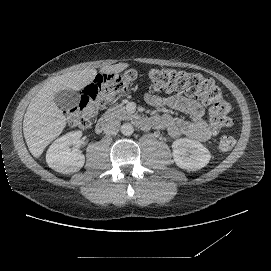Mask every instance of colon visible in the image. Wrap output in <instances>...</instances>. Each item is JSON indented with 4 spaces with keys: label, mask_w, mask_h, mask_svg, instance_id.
Wrapping results in <instances>:
<instances>
[{
    "label": "colon",
    "mask_w": 271,
    "mask_h": 271,
    "mask_svg": "<svg viewBox=\"0 0 271 271\" xmlns=\"http://www.w3.org/2000/svg\"><path fill=\"white\" fill-rule=\"evenodd\" d=\"M134 69L118 73L97 75L89 84L77 106L67 112L69 123L76 127H89L97 115L116 95L126 93L136 79ZM151 88L155 93H179L198 97L209 107L208 127L213 134L232 124V107L223 96L213 79L195 71L178 70L169 67L149 71ZM236 140L231 135L221 137L218 147L222 153L231 151Z\"/></svg>",
    "instance_id": "colon-1"
}]
</instances>
